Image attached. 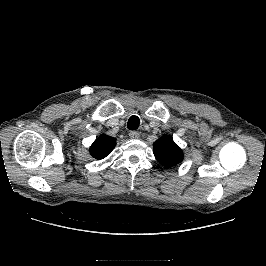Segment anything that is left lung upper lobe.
Masks as SVG:
<instances>
[{"label":"left lung upper lobe","mask_w":266,"mask_h":266,"mask_svg":"<svg viewBox=\"0 0 266 266\" xmlns=\"http://www.w3.org/2000/svg\"><path fill=\"white\" fill-rule=\"evenodd\" d=\"M154 155L165 168L176 166L183 160V151L178 147L170 135L159 138L154 144Z\"/></svg>","instance_id":"5c2ea615"}]
</instances>
